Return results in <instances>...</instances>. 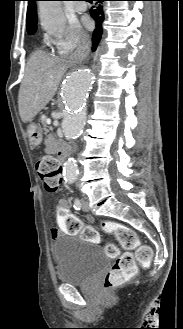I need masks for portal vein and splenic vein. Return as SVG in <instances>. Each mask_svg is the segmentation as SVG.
Masks as SVG:
<instances>
[{
  "label": "portal vein and splenic vein",
  "instance_id": "1",
  "mask_svg": "<svg viewBox=\"0 0 183 329\" xmlns=\"http://www.w3.org/2000/svg\"><path fill=\"white\" fill-rule=\"evenodd\" d=\"M46 123L50 125L51 124V119H47Z\"/></svg>",
  "mask_w": 183,
  "mask_h": 329
}]
</instances>
